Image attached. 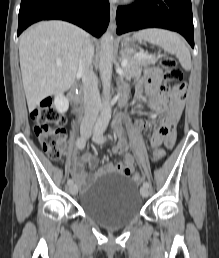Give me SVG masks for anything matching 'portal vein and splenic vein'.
Returning <instances> with one entry per match:
<instances>
[{
	"label": "portal vein and splenic vein",
	"mask_w": 219,
	"mask_h": 258,
	"mask_svg": "<svg viewBox=\"0 0 219 258\" xmlns=\"http://www.w3.org/2000/svg\"><path fill=\"white\" fill-rule=\"evenodd\" d=\"M152 57L153 56L145 55V54L138 55L139 59H151ZM127 63H128V61H127V59H125V60L122 61L121 66L125 67L127 65Z\"/></svg>",
	"instance_id": "obj_1"
}]
</instances>
